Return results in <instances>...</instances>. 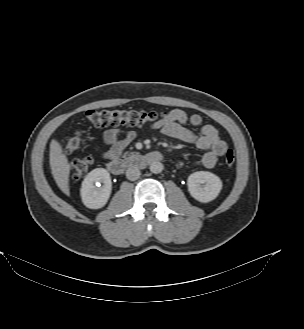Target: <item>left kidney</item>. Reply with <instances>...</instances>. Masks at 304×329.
Returning a JSON list of instances; mask_svg holds the SVG:
<instances>
[{"label":"left kidney","instance_id":"left-kidney-1","mask_svg":"<svg viewBox=\"0 0 304 329\" xmlns=\"http://www.w3.org/2000/svg\"><path fill=\"white\" fill-rule=\"evenodd\" d=\"M187 185L190 195L202 203L216 199L222 189L221 179L208 171H197L190 174Z\"/></svg>","mask_w":304,"mask_h":329}]
</instances>
